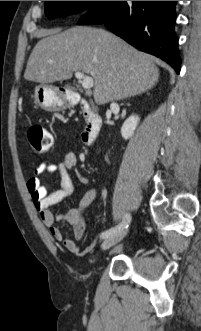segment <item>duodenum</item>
<instances>
[{
	"instance_id": "1",
	"label": "duodenum",
	"mask_w": 201,
	"mask_h": 331,
	"mask_svg": "<svg viewBox=\"0 0 201 331\" xmlns=\"http://www.w3.org/2000/svg\"><path fill=\"white\" fill-rule=\"evenodd\" d=\"M60 96H64L69 103L78 102L86 123L82 132V142L85 146L92 145L98 136L101 119L93 112L86 100H79L78 94L76 92L60 89Z\"/></svg>"
}]
</instances>
